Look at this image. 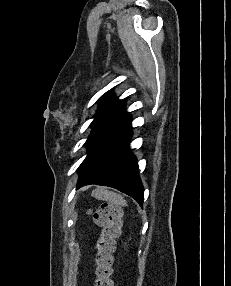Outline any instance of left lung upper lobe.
I'll list each match as a JSON object with an SVG mask.
<instances>
[{
    "mask_svg": "<svg viewBox=\"0 0 231 286\" xmlns=\"http://www.w3.org/2000/svg\"><path fill=\"white\" fill-rule=\"evenodd\" d=\"M103 103L98 108V112L94 116V120L91 123L92 126H95L97 123L102 121L105 117H107L110 113L120 107L125 101L114 99L110 94L105 93L101 99Z\"/></svg>",
    "mask_w": 231,
    "mask_h": 286,
    "instance_id": "1",
    "label": "left lung upper lobe"
}]
</instances>
